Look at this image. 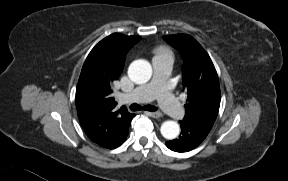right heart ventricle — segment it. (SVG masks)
Segmentation results:
<instances>
[{
  "label": "right heart ventricle",
  "mask_w": 288,
  "mask_h": 181,
  "mask_svg": "<svg viewBox=\"0 0 288 181\" xmlns=\"http://www.w3.org/2000/svg\"><path fill=\"white\" fill-rule=\"evenodd\" d=\"M158 57H169L172 59V53L170 52V50L164 47H161L156 50L155 58H158Z\"/></svg>",
  "instance_id": "1"
}]
</instances>
